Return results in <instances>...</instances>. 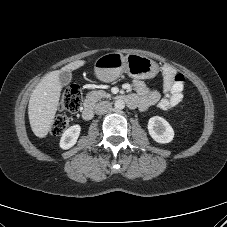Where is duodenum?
<instances>
[{
	"label": "duodenum",
	"mask_w": 227,
	"mask_h": 227,
	"mask_svg": "<svg viewBox=\"0 0 227 227\" xmlns=\"http://www.w3.org/2000/svg\"><path fill=\"white\" fill-rule=\"evenodd\" d=\"M131 108L137 107V99L133 95H124L120 97ZM94 115L93 104L91 101H86L82 110V117L85 120H91Z\"/></svg>",
	"instance_id": "1"
}]
</instances>
